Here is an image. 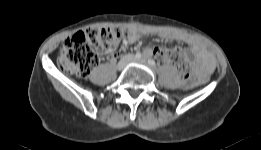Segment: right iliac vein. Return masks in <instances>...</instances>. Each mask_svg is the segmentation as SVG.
Here are the masks:
<instances>
[{"mask_svg": "<svg viewBox=\"0 0 261 150\" xmlns=\"http://www.w3.org/2000/svg\"><path fill=\"white\" fill-rule=\"evenodd\" d=\"M133 60L132 55H127L125 56L119 63L117 68L119 70H122L129 62H131Z\"/></svg>", "mask_w": 261, "mask_h": 150, "instance_id": "obj_1", "label": "right iliac vein"}]
</instances>
